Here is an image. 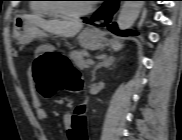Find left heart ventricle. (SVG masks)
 <instances>
[{
	"mask_svg": "<svg viewBox=\"0 0 182 140\" xmlns=\"http://www.w3.org/2000/svg\"><path fill=\"white\" fill-rule=\"evenodd\" d=\"M67 3H65V7L67 10L72 11V12H76L79 11L81 9H83L84 7H86L87 3H85V1H79V0H69L66 1Z\"/></svg>",
	"mask_w": 182,
	"mask_h": 140,
	"instance_id": "1",
	"label": "left heart ventricle"
}]
</instances>
